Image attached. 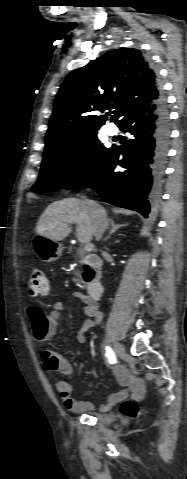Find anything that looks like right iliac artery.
<instances>
[{"label":"right iliac artery","mask_w":187,"mask_h":479,"mask_svg":"<svg viewBox=\"0 0 187 479\" xmlns=\"http://www.w3.org/2000/svg\"><path fill=\"white\" fill-rule=\"evenodd\" d=\"M106 357L110 364H114L116 362V356L114 351L110 347H106Z\"/></svg>","instance_id":"82829eb1"}]
</instances>
